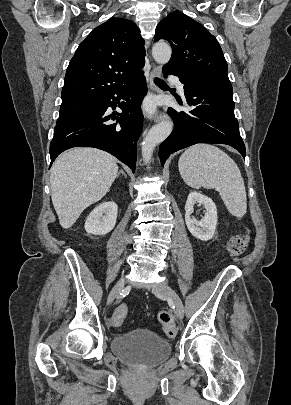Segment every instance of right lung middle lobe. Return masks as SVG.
<instances>
[{"instance_id":"1","label":"right lung middle lobe","mask_w":291,"mask_h":405,"mask_svg":"<svg viewBox=\"0 0 291 405\" xmlns=\"http://www.w3.org/2000/svg\"><path fill=\"white\" fill-rule=\"evenodd\" d=\"M95 104H96L95 100L76 101L61 104L60 115L56 124L61 123L81 112H84L94 107Z\"/></svg>"}]
</instances>
